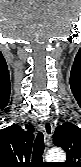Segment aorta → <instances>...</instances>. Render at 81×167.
Segmentation results:
<instances>
[{
	"label": "aorta",
	"instance_id": "aorta-1",
	"mask_svg": "<svg viewBox=\"0 0 81 167\" xmlns=\"http://www.w3.org/2000/svg\"><path fill=\"white\" fill-rule=\"evenodd\" d=\"M46 160L48 162H64L66 160V154L61 149H51L46 154Z\"/></svg>",
	"mask_w": 81,
	"mask_h": 167
}]
</instances>
